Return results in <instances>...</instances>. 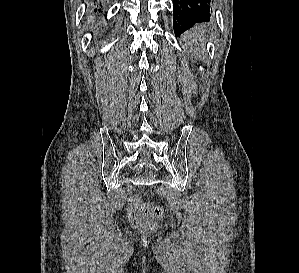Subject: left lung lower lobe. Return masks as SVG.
Here are the masks:
<instances>
[{"label":"left lung lower lobe","mask_w":299,"mask_h":273,"mask_svg":"<svg viewBox=\"0 0 299 273\" xmlns=\"http://www.w3.org/2000/svg\"><path fill=\"white\" fill-rule=\"evenodd\" d=\"M210 2L211 0H173V27L176 37L196 23L210 21Z\"/></svg>","instance_id":"1"}]
</instances>
